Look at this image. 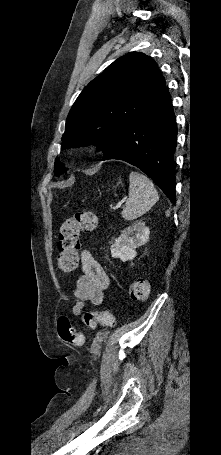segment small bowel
I'll return each mask as SVG.
<instances>
[{"label":"small bowel","instance_id":"small-bowel-1","mask_svg":"<svg viewBox=\"0 0 221 455\" xmlns=\"http://www.w3.org/2000/svg\"><path fill=\"white\" fill-rule=\"evenodd\" d=\"M80 262L82 274L76 280L74 294L77 301L72 309L76 316L82 314L86 302L102 304L105 291L109 287L108 275L89 250L81 251Z\"/></svg>","mask_w":221,"mask_h":455}]
</instances>
